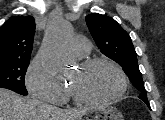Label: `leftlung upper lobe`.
<instances>
[{
    "label": "left lung upper lobe",
    "instance_id": "5c2ea615",
    "mask_svg": "<svg viewBox=\"0 0 165 120\" xmlns=\"http://www.w3.org/2000/svg\"><path fill=\"white\" fill-rule=\"evenodd\" d=\"M86 23L100 51L120 64L132 84L140 91L138 97L150 107L137 55L128 33L113 18L98 13L87 15Z\"/></svg>",
    "mask_w": 165,
    "mask_h": 120
}]
</instances>
